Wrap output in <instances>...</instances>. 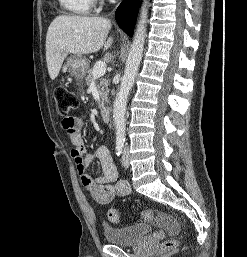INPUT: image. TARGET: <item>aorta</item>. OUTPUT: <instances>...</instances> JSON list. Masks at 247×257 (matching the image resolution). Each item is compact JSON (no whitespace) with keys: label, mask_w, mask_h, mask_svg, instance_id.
<instances>
[{"label":"aorta","mask_w":247,"mask_h":257,"mask_svg":"<svg viewBox=\"0 0 247 257\" xmlns=\"http://www.w3.org/2000/svg\"><path fill=\"white\" fill-rule=\"evenodd\" d=\"M148 6V0H143L140 19L136 27L128 59L126 61L124 75L113 105V121L115 124L116 138L120 140L125 138V113L128 96L133 87L135 77L142 60L146 38V26L148 22Z\"/></svg>","instance_id":"762f6f07"}]
</instances>
